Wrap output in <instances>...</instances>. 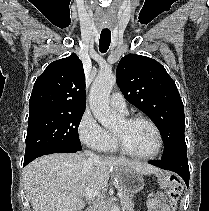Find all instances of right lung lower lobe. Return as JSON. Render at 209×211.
<instances>
[{"label": "right lung lower lobe", "instance_id": "98d812e1", "mask_svg": "<svg viewBox=\"0 0 209 211\" xmlns=\"http://www.w3.org/2000/svg\"><path fill=\"white\" fill-rule=\"evenodd\" d=\"M77 151H80V150L71 149V148H61V149H55V150L48 151L47 153H45L43 155L52 154V153H75ZM28 163H24V166L27 165Z\"/></svg>", "mask_w": 209, "mask_h": 211}]
</instances>
